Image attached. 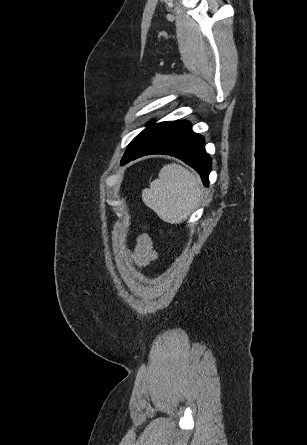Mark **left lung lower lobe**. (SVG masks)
Returning <instances> with one entry per match:
<instances>
[{"mask_svg":"<svg viewBox=\"0 0 307 445\" xmlns=\"http://www.w3.org/2000/svg\"><path fill=\"white\" fill-rule=\"evenodd\" d=\"M150 154H166L177 157L193 167L208 186L211 159L205 151L204 138L191 130L188 121H176L145 141L126 162Z\"/></svg>","mask_w":307,"mask_h":445,"instance_id":"1","label":"left lung lower lobe"}]
</instances>
